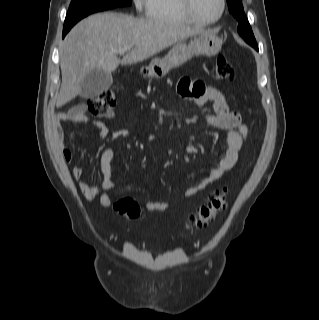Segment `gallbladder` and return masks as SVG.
Listing matches in <instances>:
<instances>
[{
	"label": "gallbladder",
	"mask_w": 319,
	"mask_h": 320,
	"mask_svg": "<svg viewBox=\"0 0 319 320\" xmlns=\"http://www.w3.org/2000/svg\"><path fill=\"white\" fill-rule=\"evenodd\" d=\"M112 83L110 73L95 69L85 76L79 95L82 98H94L109 89Z\"/></svg>",
	"instance_id": "1"
}]
</instances>
